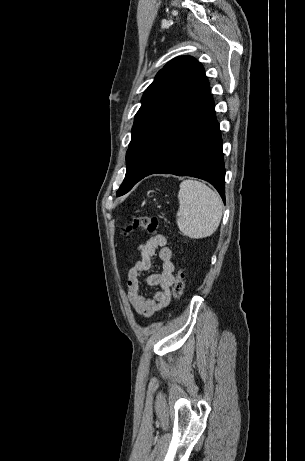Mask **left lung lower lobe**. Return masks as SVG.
Masks as SVG:
<instances>
[{
    "label": "left lung lower lobe",
    "mask_w": 305,
    "mask_h": 461,
    "mask_svg": "<svg viewBox=\"0 0 305 461\" xmlns=\"http://www.w3.org/2000/svg\"><path fill=\"white\" fill-rule=\"evenodd\" d=\"M157 173L207 180L225 200L222 140L206 76L155 135L149 168L137 182Z\"/></svg>",
    "instance_id": "obj_1"
}]
</instances>
